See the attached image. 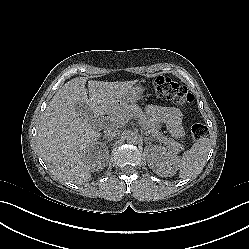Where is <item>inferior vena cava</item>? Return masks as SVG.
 <instances>
[{
    "label": "inferior vena cava",
    "instance_id": "inferior-vena-cava-1",
    "mask_svg": "<svg viewBox=\"0 0 249 249\" xmlns=\"http://www.w3.org/2000/svg\"><path fill=\"white\" fill-rule=\"evenodd\" d=\"M118 131L117 126L111 125L110 127L107 128V130L105 131L104 136L105 137H110L113 138L116 136V132Z\"/></svg>",
    "mask_w": 249,
    "mask_h": 249
}]
</instances>
